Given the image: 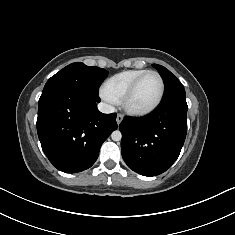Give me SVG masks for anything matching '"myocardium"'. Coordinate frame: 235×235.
<instances>
[{
	"label": "myocardium",
	"mask_w": 235,
	"mask_h": 235,
	"mask_svg": "<svg viewBox=\"0 0 235 235\" xmlns=\"http://www.w3.org/2000/svg\"><path fill=\"white\" fill-rule=\"evenodd\" d=\"M149 74H154L158 77L159 82H160V92L158 95V98L156 99V101L149 107L147 108H142V109H138V108H134L132 106H130L129 104V100L132 97V95L134 94L138 84L141 82V80L149 75ZM165 93V84H164V80L162 78V76L154 70H147L146 72H144L143 74H141L140 76H138L133 82L132 84L129 86V88L127 89V91L125 92V94L123 95L122 99H121V105L122 108L131 115L134 116H143V115H147L151 112H153L161 103L163 96Z\"/></svg>",
	"instance_id": "1"
}]
</instances>
